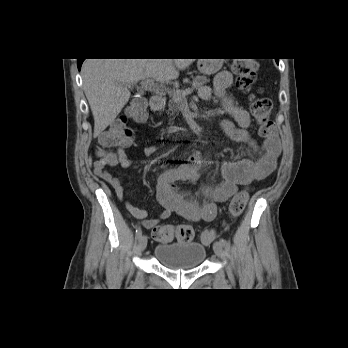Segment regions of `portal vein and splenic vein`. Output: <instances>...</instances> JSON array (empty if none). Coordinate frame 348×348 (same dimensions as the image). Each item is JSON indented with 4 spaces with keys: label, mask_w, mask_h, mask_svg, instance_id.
Instances as JSON below:
<instances>
[{
    "label": "portal vein and splenic vein",
    "mask_w": 348,
    "mask_h": 348,
    "mask_svg": "<svg viewBox=\"0 0 348 348\" xmlns=\"http://www.w3.org/2000/svg\"><path fill=\"white\" fill-rule=\"evenodd\" d=\"M141 86L145 90H163V85H156L152 79H145L141 82ZM170 94L176 97V100L179 101L182 98H185L186 95L192 94L193 93V88H187L184 91H179V90H172L167 88L166 89Z\"/></svg>",
    "instance_id": "portal-vein-and-splenic-vein-1"
}]
</instances>
